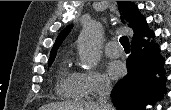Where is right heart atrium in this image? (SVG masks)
<instances>
[{
	"label": "right heart atrium",
	"mask_w": 171,
	"mask_h": 110,
	"mask_svg": "<svg viewBox=\"0 0 171 110\" xmlns=\"http://www.w3.org/2000/svg\"><path fill=\"white\" fill-rule=\"evenodd\" d=\"M77 76L87 99L96 97L109 88V82L97 71H81L77 72Z\"/></svg>",
	"instance_id": "1"
}]
</instances>
